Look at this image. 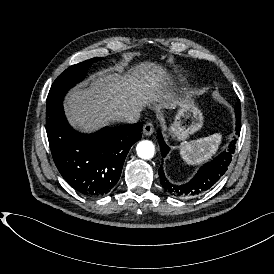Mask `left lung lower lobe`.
<instances>
[{"label":"left lung lower lobe","instance_id":"obj_1","mask_svg":"<svg viewBox=\"0 0 274 274\" xmlns=\"http://www.w3.org/2000/svg\"><path fill=\"white\" fill-rule=\"evenodd\" d=\"M236 114V133L239 136L241 130V105L240 101L237 102L235 108ZM158 141L160 144V151L162 156H166L170 148L165 144L162 134L158 132ZM237 139L232 140L228 149L223 151L218 157L211 162L203 165L194 178L184 185L171 184L164 175L163 168L160 167L158 174L160 183L163 188L170 194L177 197H195L206 193L227 171V168L232 160V155L235 152Z\"/></svg>","mask_w":274,"mask_h":274}]
</instances>
